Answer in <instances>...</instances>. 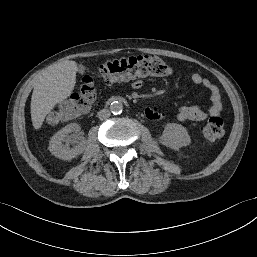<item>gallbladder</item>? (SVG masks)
Listing matches in <instances>:
<instances>
[{
  "label": "gallbladder",
  "mask_w": 257,
  "mask_h": 257,
  "mask_svg": "<svg viewBox=\"0 0 257 257\" xmlns=\"http://www.w3.org/2000/svg\"><path fill=\"white\" fill-rule=\"evenodd\" d=\"M85 70H86V67L83 66V65H80L79 68H78V72H79L80 74H83V73L85 72Z\"/></svg>",
  "instance_id": "gallbladder-1"
}]
</instances>
